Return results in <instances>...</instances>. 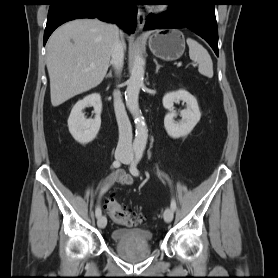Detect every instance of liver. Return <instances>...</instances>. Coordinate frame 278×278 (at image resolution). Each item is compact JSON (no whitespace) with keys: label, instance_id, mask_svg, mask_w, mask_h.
I'll use <instances>...</instances> for the list:
<instances>
[{"label":"liver","instance_id":"obj_1","mask_svg":"<svg viewBox=\"0 0 278 278\" xmlns=\"http://www.w3.org/2000/svg\"><path fill=\"white\" fill-rule=\"evenodd\" d=\"M117 39L118 29L98 19H76L53 32L47 43L46 60L52 106L103 81ZM122 43L125 48L124 40Z\"/></svg>","mask_w":278,"mask_h":278}]
</instances>
